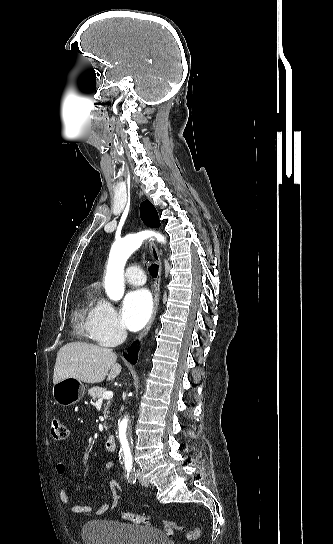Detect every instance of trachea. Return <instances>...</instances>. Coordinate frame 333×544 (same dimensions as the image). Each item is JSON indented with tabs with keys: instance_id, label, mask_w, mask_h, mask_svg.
Segmentation results:
<instances>
[{
	"instance_id": "1",
	"label": "trachea",
	"mask_w": 333,
	"mask_h": 544,
	"mask_svg": "<svg viewBox=\"0 0 333 544\" xmlns=\"http://www.w3.org/2000/svg\"><path fill=\"white\" fill-rule=\"evenodd\" d=\"M150 274L152 277H156L158 275V265L157 264H153L151 265L150 267Z\"/></svg>"
}]
</instances>
